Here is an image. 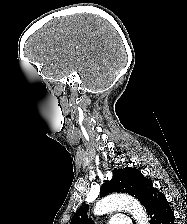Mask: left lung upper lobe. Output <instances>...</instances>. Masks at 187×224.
Segmentation results:
<instances>
[{"instance_id": "5c2ea615", "label": "left lung upper lobe", "mask_w": 187, "mask_h": 224, "mask_svg": "<svg viewBox=\"0 0 187 224\" xmlns=\"http://www.w3.org/2000/svg\"><path fill=\"white\" fill-rule=\"evenodd\" d=\"M156 188L148 178L134 168L114 169L111 181H106L101 188V196L111 193H126L137 198L146 208ZM88 204L82 205L72 217L70 224H92L87 216Z\"/></svg>"}]
</instances>
